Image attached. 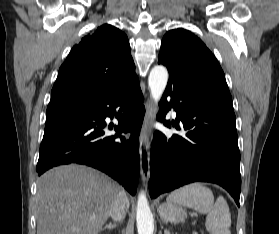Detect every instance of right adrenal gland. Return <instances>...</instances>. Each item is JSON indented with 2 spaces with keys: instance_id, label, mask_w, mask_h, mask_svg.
<instances>
[{
  "instance_id": "right-adrenal-gland-1",
  "label": "right adrenal gland",
  "mask_w": 279,
  "mask_h": 234,
  "mask_svg": "<svg viewBox=\"0 0 279 234\" xmlns=\"http://www.w3.org/2000/svg\"><path fill=\"white\" fill-rule=\"evenodd\" d=\"M117 227V222H115V223H109V224H107L102 230H105V229H109V230H112V229H115Z\"/></svg>"
}]
</instances>
